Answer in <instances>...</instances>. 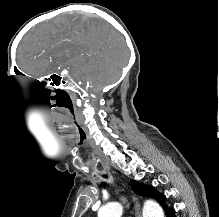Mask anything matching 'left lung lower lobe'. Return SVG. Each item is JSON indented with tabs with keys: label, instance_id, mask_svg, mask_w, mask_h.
<instances>
[{
	"label": "left lung lower lobe",
	"instance_id": "1",
	"mask_svg": "<svg viewBox=\"0 0 219 217\" xmlns=\"http://www.w3.org/2000/svg\"><path fill=\"white\" fill-rule=\"evenodd\" d=\"M166 217H175V209L172 207H166L164 208Z\"/></svg>",
	"mask_w": 219,
	"mask_h": 217
}]
</instances>
